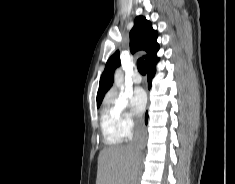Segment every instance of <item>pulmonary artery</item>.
<instances>
[{
	"instance_id": "obj_1",
	"label": "pulmonary artery",
	"mask_w": 235,
	"mask_h": 184,
	"mask_svg": "<svg viewBox=\"0 0 235 184\" xmlns=\"http://www.w3.org/2000/svg\"><path fill=\"white\" fill-rule=\"evenodd\" d=\"M132 82L134 84H140L142 82V76L137 72L135 71L133 74H132Z\"/></svg>"
}]
</instances>
